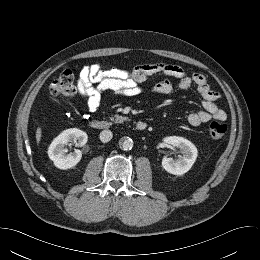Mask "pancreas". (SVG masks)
<instances>
[{
    "label": "pancreas",
    "instance_id": "pancreas-1",
    "mask_svg": "<svg viewBox=\"0 0 260 260\" xmlns=\"http://www.w3.org/2000/svg\"><path fill=\"white\" fill-rule=\"evenodd\" d=\"M111 121H114L115 123H122L124 121L128 120V117H124V116H120L118 114L114 115V117L112 116Z\"/></svg>",
    "mask_w": 260,
    "mask_h": 260
}]
</instances>
